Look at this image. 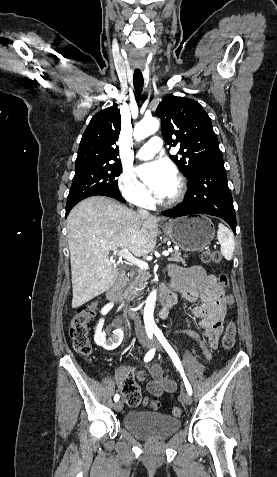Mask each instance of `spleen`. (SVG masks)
Wrapping results in <instances>:
<instances>
[{
	"instance_id": "spleen-1",
	"label": "spleen",
	"mask_w": 277,
	"mask_h": 477,
	"mask_svg": "<svg viewBox=\"0 0 277 477\" xmlns=\"http://www.w3.org/2000/svg\"><path fill=\"white\" fill-rule=\"evenodd\" d=\"M217 238L221 245V253L226 260L233 258L235 248L234 236L232 232L223 224L218 225Z\"/></svg>"
}]
</instances>
